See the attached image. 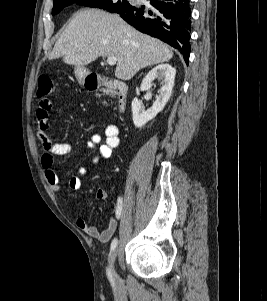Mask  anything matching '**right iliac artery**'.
Returning <instances> with one entry per match:
<instances>
[{"instance_id":"82829eb1","label":"right iliac artery","mask_w":267,"mask_h":301,"mask_svg":"<svg viewBox=\"0 0 267 301\" xmlns=\"http://www.w3.org/2000/svg\"><path fill=\"white\" fill-rule=\"evenodd\" d=\"M117 204H118V209H119L117 218L119 219L120 216H121V211H122V200H121V199H118ZM117 242H118V241H117V238H114V239L112 240V242H111V247H110V250H111V251H113V250L116 248ZM107 276H108V278H109V280H110L111 282H114V281H113L112 274H111V271H110L109 269H107Z\"/></svg>"}]
</instances>
